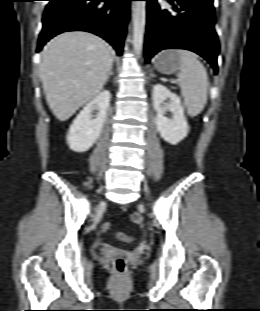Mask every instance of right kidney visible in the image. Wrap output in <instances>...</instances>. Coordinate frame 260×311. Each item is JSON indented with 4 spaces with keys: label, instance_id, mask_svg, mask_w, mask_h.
Returning a JSON list of instances; mask_svg holds the SVG:
<instances>
[{
    "label": "right kidney",
    "instance_id": "1",
    "mask_svg": "<svg viewBox=\"0 0 260 311\" xmlns=\"http://www.w3.org/2000/svg\"><path fill=\"white\" fill-rule=\"evenodd\" d=\"M111 93L108 90L100 92L77 115L67 134L69 148L75 152L89 150L98 140L107 118ZM98 107L99 113L91 119V112Z\"/></svg>",
    "mask_w": 260,
    "mask_h": 311
}]
</instances>
